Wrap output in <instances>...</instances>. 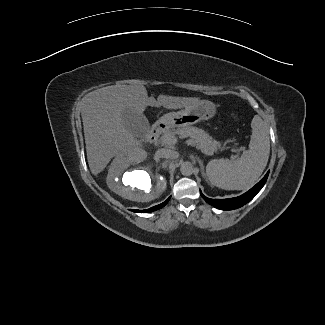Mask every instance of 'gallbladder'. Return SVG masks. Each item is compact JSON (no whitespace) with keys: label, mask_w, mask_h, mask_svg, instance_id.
I'll use <instances>...</instances> for the list:
<instances>
[{"label":"gallbladder","mask_w":325,"mask_h":325,"mask_svg":"<svg viewBox=\"0 0 325 325\" xmlns=\"http://www.w3.org/2000/svg\"><path fill=\"white\" fill-rule=\"evenodd\" d=\"M124 125L137 138L145 139L150 129L149 122L143 114L126 109L122 114Z\"/></svg>","instance_id":"obj_1"}]
</instances>
